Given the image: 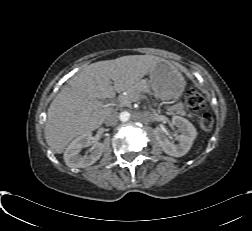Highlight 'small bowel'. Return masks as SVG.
Segmentation results:
<instances>
[{
  "label": "small bowel",
  "instance_id": "small-bowel-1",
  "mask_svg": "<svg viewBox=\"0 0 252 231\" xmlns=\"http://www.w3.org/2000/svg\"><path fill=\"white\" fill-rule=\"evenodd\" d=\"M175 109H176L177 111L181 110V105H177V106L175 107Z\"/></svg>",
  "mask_w": 252,
  "mask_h": 231
}]
</instances>
